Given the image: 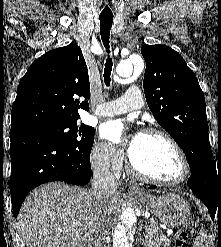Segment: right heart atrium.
Listing matches in <instances>:
<instances>
[{
    "label": "right heart atrium",
    "mask_w": 221,
    "mask_h": 247,
    "mask_svg": "<svg viewBox=\"0 0 221 247\" xmlns=\"http://www.w3.org/2000/svg\"><path fill=\"white\" fill-rule=\"evenodd\" d=\"M90 157L93 168L98 171L109 172L117 176L123 170L124 153L107 144L96 143L91 150Z\"/></svg>",
    "instance_id": "right-heart-atrium-1"
}]
</instances>
